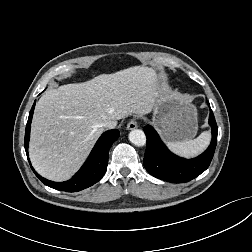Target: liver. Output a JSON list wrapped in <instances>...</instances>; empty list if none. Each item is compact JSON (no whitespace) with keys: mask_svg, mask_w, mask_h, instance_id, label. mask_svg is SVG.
<instances>
[{"mask_svg":"<svg viewBox=\"0 0 252 252\" xmlns=\"http://www.w3.org/2000/svg\"><path fill=\"white\" fill-rule=\"evenodd\" d=\"M154 77L153 69L134 66L47 90L31 126L29 155L35 170L53 181L68 180L103 133V122L151 111Z\"/></svg>","mask_w":252,"mask_h":252,"instance_id":"liver-1","label":"liver"}]
</instances>
